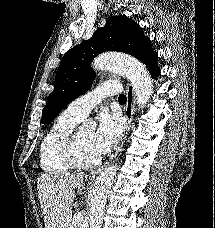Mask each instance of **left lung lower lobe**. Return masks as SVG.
I'll return each mask as SVG.
<instances>
[{
	"label": "left lung lower lobe",
	"instance_id": "left-lung-lower-lobe-1",
	"mask_svg": "<svg viewBox=\"0 0 215 228\" xmlns=\"http://www.w3.org/2000/svg\"><path fill=\"white\" fill-rule=\"evenodd\" d=\"M157 58L158 54L154 53L150 60L146 63V67L154 78H157V76L160 74V69L157 65Z\"/></svg>",
	"mask_w": 215,
	"mask_h": 228
}]
</instances>
